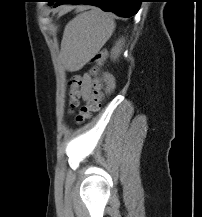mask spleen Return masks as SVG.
Returning <instances> with one entry per match:
<instances>
[{"mask_svg":"<svg viewBox=\"0 0 202 217\" xmlns=\"http://www.w3.org/2000/svg\"><path fill=\"white\" fill-rule=\"evenodd\" d=\"M114 29L112 15L99 8L80 13L65 27L62 50L72 60L88 58L102 48Z\"/></svg>","mask_w":202,"mask_h":217,"instance_id":"1","label":"spleen"}]
</instances>
